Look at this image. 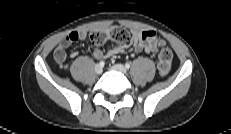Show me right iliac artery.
<instances>
[{"label": "right iliac artery", "mask_w": 231, "mask_h": 134, "mask_svg": "<svg viewBox=\"0 0 231 134\" xmlns=\"http://www.w3.org/2000/svg\"><path fill=\"white\" fill-rule=\"evenodd\" d=\"M99 65L103 67L105 65L104 61H100Z\"/></svg>", "instance_id": "1"}]
</instances>
